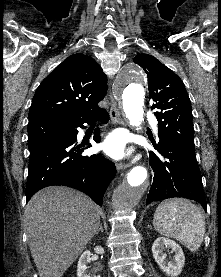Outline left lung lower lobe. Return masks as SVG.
<instances>
[{
	"instance_id": "left-lung-lower-lobe-1",
	"label": "left lung lower lobe",
	"mask_w": 221,
	"mask_h": 277,
	"mask_svg": "<svg viewBox=\"0 0 221 277\" xmlns=\"http://www.w3.org/2000/svg\"><path fill=\"white\" fill-rule=\"evenodd\" d=\"M159 154L150 152L153 183L146 203L172 197H184L199 202L206 210L201 173L195 158L171 142H152Z\"/></svg>"
}]
</instances>
